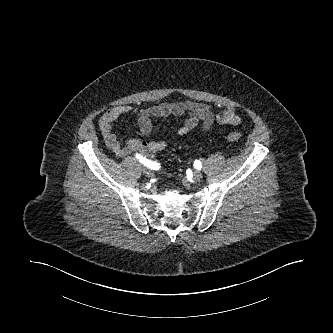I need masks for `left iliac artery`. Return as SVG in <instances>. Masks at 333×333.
<instances>
[{
    "label": "left iliac artery",
    "mask_w": 333,
    "mask_h": 333,
    "mask_svg": "<svg viewBox=\"0 0 333 333\" xmlns=\"http://www.w3.org/2000/svg\"><path fill=\"white\" fill-rule=\"evenodd\" d=\"M194 168L200 170L202 168V164L199 160L194 161Z\"/></svg>",
    "instance_id": "1"
}]
</instances>
